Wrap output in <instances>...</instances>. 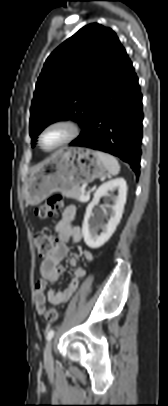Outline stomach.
Masks as SVG:
<instances>
[{
    "mask_svg": "<svg viewBox=\"0 0 168 406\" xmlns=\"http://www.w3.org/2000/svg\"><path fill=\"white\" fill-rule=\"evenodd\" d=\"M106 167L96 151L83 147H65L53 153L24 184V198L30 205H38L53 192L79 188L101 178Z\"/></svg>",
    "mask_w": 168,
    "mask_h": 406,
    "instance_id": "0dacf381",
    "label": "stomach"
}]
</instances>
